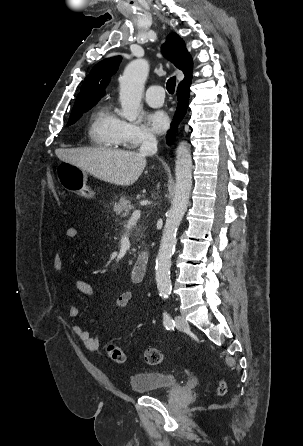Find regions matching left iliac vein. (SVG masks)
I'll return each mask as SVG.
<instances>
[{
  "label": "left iliac vein",
  "instance_id": "4c4485c4",
  "mask_svg": "<svg viewBox=\"0 0 303 446\" xmlns=\"http://www.w3.org/2000/svg\"><path fill=\"white\" fill-rule=\"evenodd\" d=\"M175 322H176V327L179 330H186L189 327L188 322L182 316H179V315L176 316Z\"/></svg>",
  "mask_w": 303,
  "mask_h": 446
}]
</instances>
